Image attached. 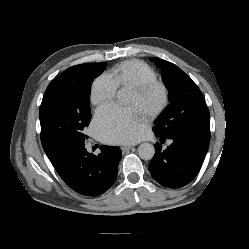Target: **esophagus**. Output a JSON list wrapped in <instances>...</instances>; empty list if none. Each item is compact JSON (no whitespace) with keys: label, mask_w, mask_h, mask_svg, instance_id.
Here are the masks:
<instances>
[{"label":"esophagus","mask_w":249,"mask_h":249,"mask_svg":"<svg viewBox=\"0 0 249 249\" xmlns=\"http://www.w3.org/2000/svg\"><path fill=\"white\" fill-rule=\"evenodd\" d=\"M131 149H133L132 146H121V151H122V153H127V152H129Z\"/></svg>","instance_id":"34e87169"}]
</instances>
